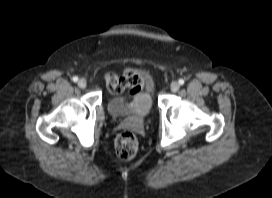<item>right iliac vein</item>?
Segmentation results:
<instances>
[{
	"label": "right iliac vein",
	"instance_id": "1",
	"mask_svg": "<svg viewBox=\"0 0 272 198\" xmlns=\"http://www.w3.org/2000/svg\"><path fill=\"white\" fill-rule=\"evenodd\" d=\"M78 86L80 87V88H85L86 86H87V81L85 80V79H80L79 81H78Z\"/></svg>",
	"mask_w": 272,
	"mask_h": 198
}]
</instances>
